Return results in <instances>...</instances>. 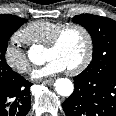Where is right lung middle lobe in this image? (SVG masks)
<instances>
[{
  "label": "right lung middle lobe",
  "mask_w": 116,
  "mask_h": 116,
  "mask_svg": "<svg viewBox=\"0 0 116 116\" xmlns=\"http://www.w3.org/2000/svg\"><path fill=\"white\" fill-rule=\"evenodd\" d=\"M27 20L0 15V83L8 82L17 75L6 63L5 52L10 36Z\"/></svg>",
  "instance_id": "1"
}]
</instances>
